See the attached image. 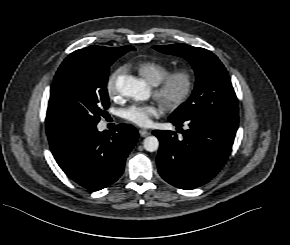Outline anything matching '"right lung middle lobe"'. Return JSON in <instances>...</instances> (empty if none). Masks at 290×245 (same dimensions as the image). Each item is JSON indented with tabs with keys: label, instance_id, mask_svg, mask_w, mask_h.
<instances>
[{
	"label": "right lung middle lobe",
	"instance_id": "right-lung-middle-lobe-1",
	"mask_svg": "<svg viewBox=\"0 0 290 245\" xmlns=\"http://www.w3.org/2000/svg\"><path fill=\"white\" fill-rule=\"evenodd\" d=\"M125 53L97 54L81 49L71 53L54 77L48 111L68 128L97 125L109 106V67Z\"/></svg>",
	"mask_w": 290,
	"mask_h": 245
}]
</instances>
